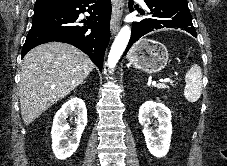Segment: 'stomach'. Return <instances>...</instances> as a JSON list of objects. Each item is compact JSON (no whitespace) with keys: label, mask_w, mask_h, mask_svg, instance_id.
I'll return each instance as SVG.
<instances>
[{"label":"stomach","mask_w":227,"mask_h":166,"mask_svg":"<svg viewBox=\"0 0 227 166\" xmlns=\"http://www.w3.org/2000/svg\"><path fill=\"white\" fill-rule=\"evenodd\" d=\"M168 57L167 48L162 43L149 39H140L127 55L130 64L147 73H157L164 69Z\"/></svg>","instance_id":"stomach-1"}]
</instances>
